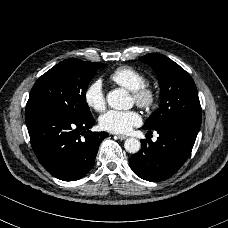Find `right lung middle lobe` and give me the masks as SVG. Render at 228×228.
<instances>
[{"label": "right lung middle lobe", "instance_id": "dd1d6c3e", "mask_svg": "<svg viewBox=\"0 0 228 228\" xmlns=\"http://www.w3.org/2000/svg\"><path fill=\"white\" fill-rule=\"evenodd\" d=\"M106 65L66 59L43 74L34 84L25 114L55 111L75 118H88L86 89L96 71Z\"/></svg>", "mask_w": 228, "mask_h": 228}]
</instances>
